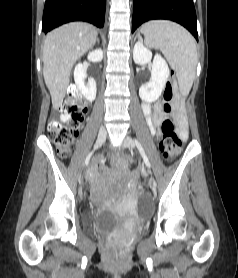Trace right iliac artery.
<instances>
[{
  "label": "right iliac artery",
  "mask_w": 238,
  "mask_h": 278,
  "mask_svg": "<svg viewBox=\"0 0 238 278\" xmlns=\"http://www.w3.org/2000/svg\"><path fill=\"white\" fill-rule=\"evenodd\" d=\"M92 154H93V151L88 154V156L85 159V163H88V161H89L90 157L92 156Z\"/></svg>",
  "instance_id": "82829eb1"
}]
</instances>
